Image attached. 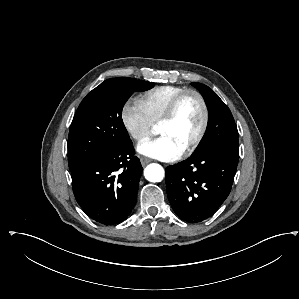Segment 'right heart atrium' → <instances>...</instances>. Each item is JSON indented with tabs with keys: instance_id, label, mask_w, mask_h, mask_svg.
<instances>
[{
	"instance_id": "1",
	"label": "right heart atrium",
	"mask_w": 299,
	"mask_h": 299,
	"mask_svg": "<svg viewBox=\"0 0 299 299\" xmlns=\"http://www.w3.org/2000/svg\"><path fill=\"white\" fill-rule=\"evenodd\" d=\"M121 121L127 134L137 143L148 138L154 127L140 104L134 101L122 106Z\"/></svg>"
}]
</instances>
